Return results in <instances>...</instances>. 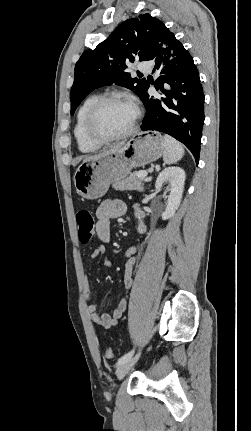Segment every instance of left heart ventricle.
<instances>
[{
    "label": "left heart ventricle",
    "instance_id": "left-heart-ventricle-1",
    "mask_svg": "<svg viewBox=\"0 0 251 431\" xmlns=\"http://www.w3.org/2000/svg\"><path fill=\"white\" fill-rule=\"evenodd\" d=\"M135 118V108L127 101H112L103 106L96 120L99 134L112 136L126 131Z\"/></svg>",
    "mask_w": 251,
    "mask_h": 431
}]
</instances>
